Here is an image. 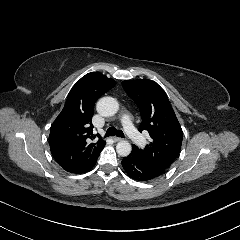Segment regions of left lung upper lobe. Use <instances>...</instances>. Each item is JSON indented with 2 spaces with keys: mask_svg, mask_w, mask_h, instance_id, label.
<instances>
[{
  "mask_svg": "<svg viewBox=\"0 0 240 240\" xmlns=\"http://www.w3.org/2000/svg\"><path fill=\"white\" fill-rule=\"evenodd\" d=\"M122 85L140 109L139 131H148L152 139L144 149L133 144L131 153L153 166L167 169L180 152L183 132L165 92L148 79L127 80Z\"/></svg>",
  "mask_w": 240,
  "mask_h": 240,
  "instance_id": "left-lung-upper-lobe-1",
  "label": "left lung upper lobe"
}]
</instances>
